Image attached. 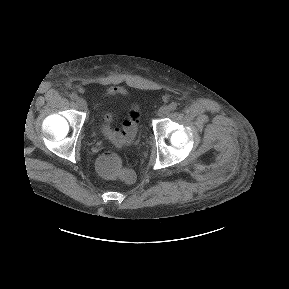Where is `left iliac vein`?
<instances>
[{
	"instance_id": "left-iliac-vein-1",
	"label": "left iliac vein",
	"mask_w": 289,
	"mask_h": 289,
	"mask_svg": "<svg viewBox=\"0 0 289 289\" xmlns=\"http://www.w3.org/2000/svg\"><path fill=\"white\" fill-rule=\"evenodd\" d=\"M169 112H170L169 106L164 105V106L160 107L157 114H158V116L163 117V116H166Z\"/></svg>"
}]
</instances>
